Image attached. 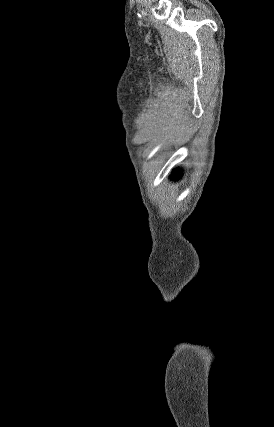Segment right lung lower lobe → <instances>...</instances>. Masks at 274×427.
I'll use <instances>...</instances> for the list:
<instances>
[{
  "label": "right lung lower lobe",
  "instance_id": "1",
  "mask_svg": "<svg viewBox=\"0 0 274 427\" xmlns=\"http://www.w3.org/2000/svg\"><path fill=\"white\" fill-rule=\"evenodd\" d=\"M172 176H173V178H177L178 174L176 173V174H173Z\"/></svg>",
  "mask_w": 274,
  "mask_h": 427
}]
</instances>
